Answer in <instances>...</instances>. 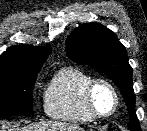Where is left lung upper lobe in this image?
Returning a JSON list of instances; mask_svg holds the SVG:
<instances>
[{"label":"left lung upper lobe","instance_id":"left-lung-upper-lobe-1","mask_svg":"<svg viewBox=\"0 0 147 131\" xmlns=\"http://www.w3.org/2000/svg\"><path fill=\"white\" fill-rule=\"evenodd\" d=\"M66 52L71 60L96 68L120 88L129 111L128 127L141 131L135 112L132 67L115 34L100 23L80 25L67 38Z\"/></svg>","mask_w":147,"mask_h":131}]
</instances>
